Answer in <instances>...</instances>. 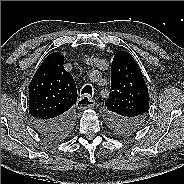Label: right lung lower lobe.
<instances>
[{"instance_id": "right-lung-lower-lobe-1", "label": "right lung lower lobe", "mask_w": 184, "mask_h": 184, "mask_svg": "<svg viewBox=\"0 0 184 184\" xmlns=\"http://www.w3.org/2000/svg\"><path fill=\"white\" fill-rule=\"evenodd\" d=\"M35 129L42 135L49 137L56 135L62 131H65L67 128L73 124V118L71 112L68 114L49 121L42 120H33Z\"/></svg>"}]
</instances>
